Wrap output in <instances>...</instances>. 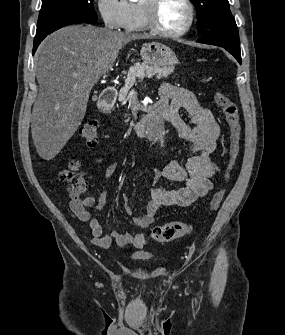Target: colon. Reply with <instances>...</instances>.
Returning <instances> with one entry per match:
<instances>
[{
	"label": "colon",
	"instance_id": "obj_1",
	"mask_svg": "<svg viewBox=\"0 0 285 335\" xmlns=\"http://www.w3.org/2000/svg\"><path fill=\"white\" fill-rule=\"evenodd\" d=\"M213 99L220 107L229 128V159L224 174L225 180H228L240 150L241 123L239 110L237 104L223 92H215ZM100 130L101 124L99 121L89 120L80 127L79 136L87 145L95 146L98 142ZM76 169L77 163H72L69 169L62 172V178L71 184L72 191L82 185L81 179L74 174ZM223 197L224 190H217L210 201L209 211H217L222 203ZM191 231L192 227L187 223L169 222L154 227L150 232V236L157 242H169Z\"/></svg>",
	"mask_w": 285,
	"mask_h": 335
}]
</instances>
